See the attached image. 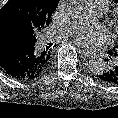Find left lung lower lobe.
<instances>
[{
  "label": "left lung lower lobe",
  "mask_w": 118,
  "mask_h": 118,
  "mask_svg": "<svg viewBox=\"0 0 118 118\" xmlns=\"http://www.w3.org/2000/svg\"><path fill=\"white\" fill-rule=\"evenodd\" d=\"M111 56L114 58L112 65H110V67L107 68V70H105L102 74H100L99 78L108 83L118 84V55ZM109 58L112 59L111 57Z\"/></svg>",
  "instance_id": "left-lung-lower-lobe-1"
}]
</instances>
